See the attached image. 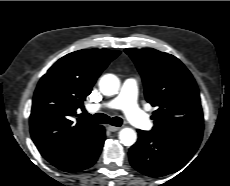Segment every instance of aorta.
<instances>
[{
  "label": "aorta",
  "mask_w": 230,
  "mask_h": 186,
  "mask_svg": "<svg viewBox=\"0 0 230 186\" xmlns=\"http://www.w3.org/2000/svg\"><path fill=\"white\" fill-rule=\"evenodd\" d=\"M120 81L113 74H106L99 80V89L106 96H113L118 93ZM119 140L125 146H132L137 140V134L132 128H123L119 132Z\"/></svg>",
  "instance_id": "1"
}]
</instances>
